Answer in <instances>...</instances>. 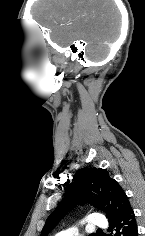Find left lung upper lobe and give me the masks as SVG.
I'll return each mask as SVG.
<instances>
[{"label":"left lung upper lobe","mask_w":145,"mask_h":236,"mask_svg":"<svg viewBox=\"0 0 145 236\" xmlns=\"http://www.w3.org/2000/svg\"><path fill=\"white\" fill-rule=\"evenodd\" d=\"M93 195L95 196L92 197ZM86 202L105 211L109 222L123 215L131 207L123 188L110 177L107 170L82 168L76 172L72 183L68 185L62 202L48 217L41 236H47L71 208Z\"/></svg>","instance_id":"5c2ea615"}]
</instances>
